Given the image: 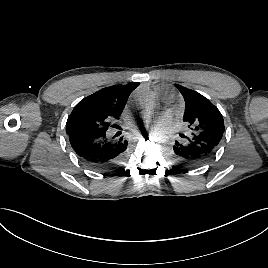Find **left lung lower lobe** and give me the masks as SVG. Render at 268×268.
Segmentation results:
<instances>
[{"mask_svg":"<svg viewBox=\"0 0 268 268\" xmlns=\"http://www.w3.org/2000/svg\"><path fill=\"white\" fill-rule=\"evenodd\" d=\"M223 132L222 130L193 132L186 141L175 142L170 157L178 167L197 168L215 155Z\"/></svg>","mask_w":268,"mask_h":268,"instance_id":"1","label":"left lung lower lobe"}]
</instances>
